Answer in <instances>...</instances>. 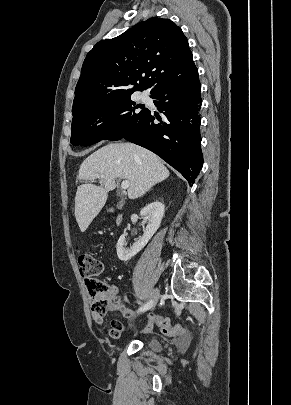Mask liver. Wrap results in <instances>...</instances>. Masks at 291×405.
<instances>
[{"label":"liver","instance_id":"obj_1","mask_svg":"<svg viewBox=\"0 0 291 405\" xmlns=\"http://www.w3.org/2000/svg\"><path fill=\"white\" fill-rule=\"evenodd\" d=\"M169 170L151 151L131 143H111L90 156L80 166L78 180H94L100 186L81 184L75 196V217L84 232L105 205L115 179L129 181L128 198L142 197L155 184L169 176Z\"/></svg>","mask_w":291,"mask_h":405}]
</instances>
